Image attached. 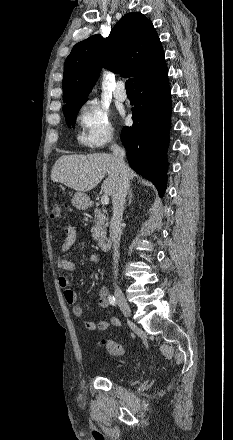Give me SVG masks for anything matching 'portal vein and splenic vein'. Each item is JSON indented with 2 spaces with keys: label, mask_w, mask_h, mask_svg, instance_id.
I'll list each match as a JSON object with an SVG mask.
<instances>
[{
  "label": "portal vein and splenic vein",
  "mask_w": 233,
  "mask_h": 440,
  "mask_svg": "<svg viewBox=\"0 0 233 440\" xmlns=\"http://www.w3.org/2000/svg\"><path fill=\"white\" fill-rule=\"evenodd\" d=\"M101 203H102V205H107V204L109 203V197H108L107 194H104V195L101 197Z\"/></svg>",
  "instance_id": "18ae733b"
}]
</instances>
